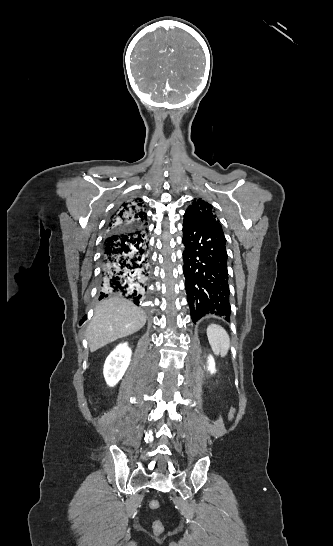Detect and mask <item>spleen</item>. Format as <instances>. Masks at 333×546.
I'll list each match as a JSON object with an SVG mask.
<instances>
[{
  "mask_svg": "<svg viewBox=\"0 0 333 546\" xmlns=\"http://www.w3.org/2000/svg\"><path fill=\"white\" fill-rule=\"evenodd\" d=\"M207 337L212 351L215 354L226 356L230 348V337L220 325L210 324L207 327Z\"/></svg>",
  "mask_w": 333,
  "mask_h": 546,
  "instance_id": "obj_1",
  "label": "spleen"
}]
</instances>
